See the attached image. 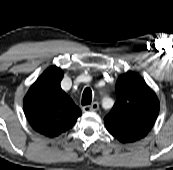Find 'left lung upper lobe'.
Instances as JSON below:
<instances>
[{
  "mask_svg": "<svg viewBox=\"0 0 173 170\" xmlns=\"http://www.w3.org/2000/svg\"><path fill=\"white\" fill-rule=\"evenodd\" d=\"M117 101L104 118L110 134L120 142H135L145 137L153 127L159 100L144 79L129 71L116 84Z\"/></svg>",
  "mask_w": 173,
  "mask_h": 170,
  "instance_id": "1",
  "label": "left lung upper lobe"
}]
</instances>
